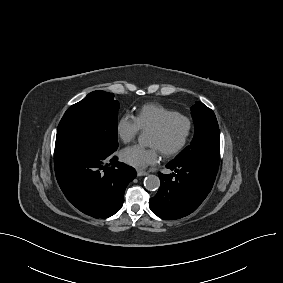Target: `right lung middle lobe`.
<instances>
[{
	"mask_svg": "<svg viewBox=\"0 0 283 283\" xmlns=\"http://www.w3.org/2000/svg\"><path fill=\"white\" fill-rule=\"evenodd\" d=\"M118 109L114 94L101 90L89 93L63 115L57 128L55 147L82 142L105 151H116Z\"/></svg>",
	"mask_w": 283,
	"mask_h": 283,
	"instance_id": "dd1d6c3e",
	"label": "right lung middle lobe"
}]
</instances>
